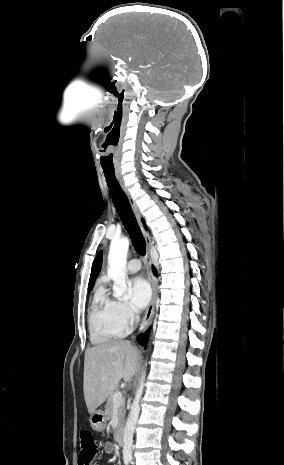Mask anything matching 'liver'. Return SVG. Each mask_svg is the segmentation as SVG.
<instances>
[{
    "instance_id": "1",
    "label": "liver",
    "mask_w": 284,
    "mask_h": 465,
    "mask_svg": "<svg viewBox=\"0 0 284 465\" xmlns=\"http://www.w3.org/2000/svg\"><path fill=\"white\" fill-rule=\"evenodd\" d=\"M139 353L130 341H107L90 347L84 359V399L88 413H95L118 387L130 383L138 369Z\"/></svg>"
}]
</instances>
